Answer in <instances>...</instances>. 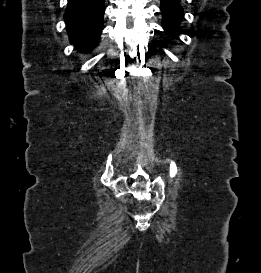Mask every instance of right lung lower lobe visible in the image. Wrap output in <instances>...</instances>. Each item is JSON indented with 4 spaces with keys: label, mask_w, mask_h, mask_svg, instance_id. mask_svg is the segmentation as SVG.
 Returning <instances> with one entry per match:
<instances>
[{
    "label": "right lung lower lobe",
    "mask_w": 261,
    "mask_h": 273,
    "mask_svg": "<svg viewBox=\"0 0 261 273\" xmlns=\"http://www.w3.org/2000/svg\"><path fill=\"white\" fill-rule=\"evenodd\" d=\"M104 0H68L64 19L71 43L88 52L99 42L103 29Z\"/></svg>",
    "instance_id": "98d812e1"
}]
</instances>
